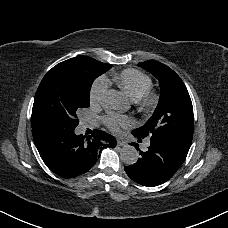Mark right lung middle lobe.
<instances>
[{
  "label": "right lung middle lobe",
  "instance_id": "1",
  "mask_svg": "<svg viewBox=\"0 0 228 228\" xmlns=\"http://www.w3.org/2000/svg\"><path fill=\"white\" fill-rule=\"evenodd\" d=\"M112 66L95 59L78 69L56 65L41 81L32 108V129L75 128L77 111L90 105L93 81Z\"/></svg>",
  "mask_w": 228,
  "mask_h": 228
}]
</instances>
